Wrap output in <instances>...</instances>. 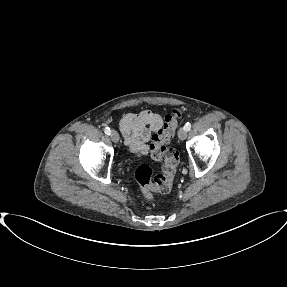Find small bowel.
I'll list each match as a JSON object with an SVG mask.
<instances>
[{"mask_svg":"<svg viewBox=\"0 0 287 287\" xmlns=\"http://www.w3.org/2000/svg\"><path fill=\"white\" fill-rule=\"evenodd\" d=\"M162 118L151 111L129 113L119 121L120 130L131 153L137 156L148 153L152 135L161 128Z\"/></svg>","mask_w":287,"mask_h":287,"instance_id":"c3829d8e","label":"small bowel"}]
</instances>
